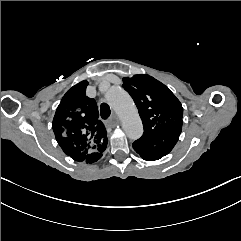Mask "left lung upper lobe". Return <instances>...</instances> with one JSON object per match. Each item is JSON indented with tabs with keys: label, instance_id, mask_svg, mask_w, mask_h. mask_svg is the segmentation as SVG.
Wrapping results in <instances>:
<instances>
[{
	"label": "left lung upper lobe",
	"instance_id": "1",
	"mask_svg": "<svg viewBox=\"0 0 241 241\" xmlns=\"http://www.w3.org/2000/svg\"><path fill=\"white\" fill-rule=\"evenodd\" d=\"M123 88L133 98L144 133L138 139L155 145L166 133L181 132L183 107L171 90L149 75L123 78Z\"/></svg>",
	"mask_w": 241,
	"mask_h": 241
}]
</instances>
